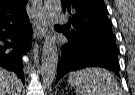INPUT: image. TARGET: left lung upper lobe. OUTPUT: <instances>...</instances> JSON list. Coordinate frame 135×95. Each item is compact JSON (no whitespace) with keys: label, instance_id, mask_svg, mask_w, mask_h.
<instances>
[{"label":"left lung upper lobe","instance_id":"left-lung-upper-lobe-1","mask_svg":"<svg viewBox=\"0 0 135 95\" xmlns=\"http://www.w3.org/2000/svg\"><path fill=\"white\" fill-rule=\"evenodd\" d=\"M62 8L63 12L71 14L69 23L75 28L66 32V36L73 39L96 36L116 39L103 0H62Z\"/></svg>","mask_w":135,"mask_h":95}]
</instances>
